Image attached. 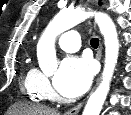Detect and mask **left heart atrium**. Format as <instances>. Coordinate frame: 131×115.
I'll list each match as a JSON object with an SVG mask.
<instances>
[{"label": "left heart atrium", "instance_id": "1", "mask_svg": "<svg viewBox=\"0 0 131 115\" xmlns=\"http://www.w3.org/2000/svg\"><path fill=\"white\" fill-rule=\"evenodd\" d=\"M93 68L90 61L77 56L66 57L54 77L56 90L66 97L82 95L90 86Z\"/></svg>", "mask_w": 131, "mask_h": 115}]
</instances>
